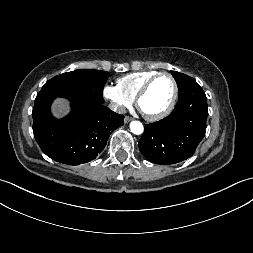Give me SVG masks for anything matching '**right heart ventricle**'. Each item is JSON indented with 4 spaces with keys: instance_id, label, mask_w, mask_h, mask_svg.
<instances>
[{
    "instance_id": "e07e8e85",
    "label": "right heart ventricle",
    "mask_w": 253,
    "mask_h": 253,
    "mask_svg": "<svg viewBox=\"0 0 253 253\" xmlns=\"http://www.w3.org/2000/svg\"><path fill=\"white\" fill-rule=\"evenodd\" d=\"M157 73V71H143L124 75L117 79V87L133 100L141 87Z\"/></svg>"
}]
</instances>
